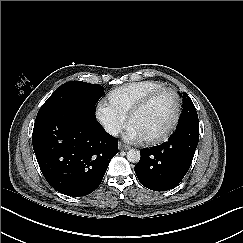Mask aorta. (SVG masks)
<instances>
[{"label": "aorta", "mask_w": 243, "mask_h": 243, "mask_svg": "<svg viewBox=\"0 0 243 243\" xmlns=\"http://www.w3.org/2000/svg\"><path fill=\"white\" fill-rule=\"evenodd\" d=\"M127 160L137 163L140 160V152L137 149H130L126 154Z\"/></svg>", "instance_id": "762f6f07"}]
</instances>
